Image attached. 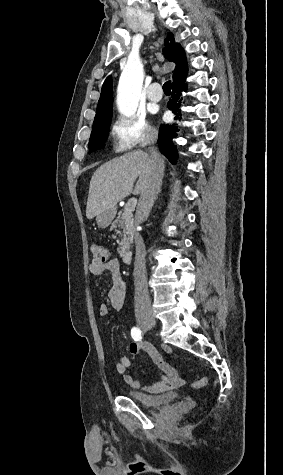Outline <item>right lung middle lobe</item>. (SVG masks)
<instances>
[{"instance_id":"1","label":"right lung middle lobe","mask_w":283,"mask_h":475,"mask_svg":"<svg viewBox=\"0 0 283 475\" xmlns=\"http://www.w3.org/2000/svg\"><path fill=\"white\" fill-rule=\"evenodd\" d=\"M112 118V105L97 107L93 129L89 141V153L104 146Z\"/></svg>"}]
</instances>
